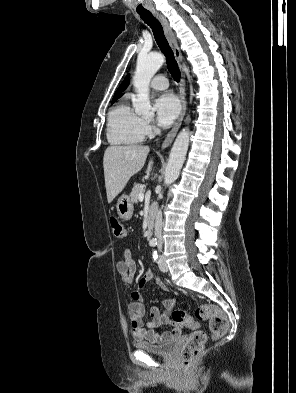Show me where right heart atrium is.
Instances as JSON below:
<instances>
[{
  "label": "right heart atrium",
  "instance_id": "1",
  "mask_svg": "<svg viewBox=\"0 0 296 393\" xmlns=\"http://www.w3.org/2000/svg\"><path fill=\"white\" fill-rule=\"evenodd\" d=\"M143 130L145 136H152L157 132V128L150 122H144Z\"/></svg>",
  "mask_w": 296,
  "mask_h": 393
}]
</instances>
